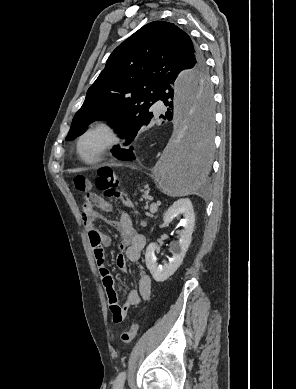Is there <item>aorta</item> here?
<instances>
[{"mask_svg": "<svg viewBox=\"0 0 296 389\" xmlns=\"http://www.w3.org/2000/svg\"><path fill=\"white\" fill-rule=\"evenodd\" d=\"M213 85L207 72H182L173 82L175 130L156 165L159 183L174 195L201 189L213 160Z\"/></svg>", "mask_w": 296, "mask_h": 389, "instance_id": "aorta-1", "label": "aorta"}]
</instances>
